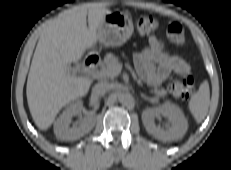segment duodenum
Returning <instances> with one entry per match:
<instances>
[{
    "instance_id": "1",
    "label": "duodenum",
    "mask_w": 231,
    "mask_h": 170,
    "mask_svg": "<svg viewBox=\"0 0 231 170\" xmlns=\"http://www.w3.org/2000/svg\"><path fill=\"white\" fill-rule=\"evenodd\" d=\"M100 61L101 59L98 55L88 53L83 60V65L86 69L93 70L99 66Z\"/></svg>"
}]
</instances>
